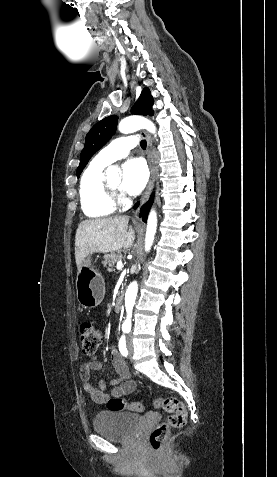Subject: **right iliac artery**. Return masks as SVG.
Returning a JSON list of instances; mask_svg holds the SVG:
<instances>
[{"mask_svg":"<svg viewBox=\"0 0 277 477\" xmlns=\"http://www.w3.org/2000/svg\"><path fill=\"white\" fill-rule=\"evenodd\" d=\"M119 350L121 352V354L123 356H127L128 355V351H127V348H126V341H125V336L122 335V337L120 338L119 340Z\"/></svg>","mask_w":277,"mask_h":477,"instance_id":"1","label":"right iliac artery"}]
</instances>
